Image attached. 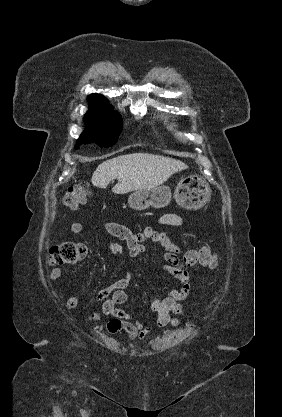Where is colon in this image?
Returning <instances> with one entry per match:
<instances>
[{
    "instance_id": "obj_1",
    "label": "colon",
    "mask_w": 282,
    "mask_h": 417,
    "mask_svg": "<svg viewBox=\"0 0 282 417\" xmlns=\"http://www.w3.org/2000/svg\"><path fill=\"white\" fill-rule=\"evenodd\" d=\"M87 192V186L75 185L67 191L62 202L66 206L77 207L86 201ZM86 254L87 249L84 245L73 241H61L51 248L48 260L51 266L75 265ZM183 259V266H171L177 274L197 264L203 268H215L218 263V255L206 247L187 252Z\"/></svg>"
}]
</instances>
